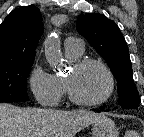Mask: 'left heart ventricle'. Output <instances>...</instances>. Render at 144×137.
<instances>
[{"mask_svg": "<svg viewBox=\"0 0 144 137\" xmlns=\"http://www.w3.org/2000/svg\"><path fill=\"white\" fill-rule=\"evenodd\" d=\"M75 95L84 101L102 98L108 89V79L104 71L96 65H88L81 70H69L66 75Z\"/></svg>", "mask_w": 144, "mask_h": 137, "instance_id": "1", "label": "left heart ventricle"}]
</instances>
